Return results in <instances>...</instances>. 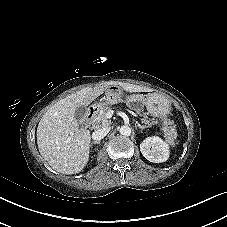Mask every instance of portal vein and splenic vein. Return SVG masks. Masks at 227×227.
<instances>
[{"mask_svg":"<svg viewBox=\"0 0 227 227\" xmlns=\"http://www.w3.org/2000/svg\"><path fill=\"white\" fill-rule=\"evenodd\" d=\"M113 113H114L113 111H110V112H108L107 116L111 117L113 115Z\"/></svg>","mask_w":227,"mask_h":227,"instance_id":"18ae733b","label":"portal vein and splenic vein"}]
</instances>
